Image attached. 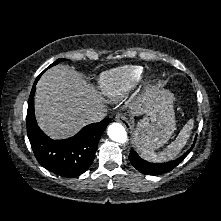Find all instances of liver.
<instances>
[{
	"mask_svg": "<svg viewBox=\"0 0 221 221\" xmlns=\"http://www.w3.org/2000/svg\"><path fill=\"white\" fill-rule=\"evenodd\" d=\"M150 100L151 94L139 95L132 107L145 111ZM34 101L38 125L52 139L73 136L87 124L86 115L105 109L95 89L65 65L54 66L41 76Z\"/></svg>",
	"mask_w": 221,
	"mask_h": 221,
	"instance_id": "1",
	"label": "liver"
}]
</instances>
